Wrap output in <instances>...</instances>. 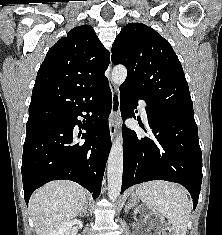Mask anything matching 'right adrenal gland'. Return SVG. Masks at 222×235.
<instances>
[{"mask_svg": "<svg viewBox=\"0 0 222 235\" xmlns=\"http://www.w3.org/2000/svg\"><path fill=\"white\" fill-rule=\"evenodd\" d=\"M88 203H87V201H85V204H84V207H83V209H82V211L80 212V216L84 213L85 215H87V213H88Z\"/></svg>", "mask_w": 222, "mask_h": 235, "instance_id": "right-adrenal-gland-1", "label": "right adrenal gland"}]
</instances>
